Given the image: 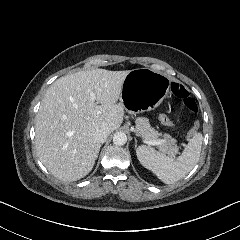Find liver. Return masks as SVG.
<instances>
[{
  "instance_id": "6515ba94",
  "label": "liver",
  "mask_w": 240,
  "mask_h": 240,
  "mask_svg": "<svg viewBox=\"0 0 240 240\" xmlns=\"http://www.w3.org/2000/svg\"><path fill=\"white\" fill-rule=\"evenodd\" d=\"M129 73L79 71L49 86L36 115L35 145L41 163L56 178L77 181L92 170L101 147L97 131L113 132L123 122L124 107L117 101Z\"/></svg>"
}]
</instances>
